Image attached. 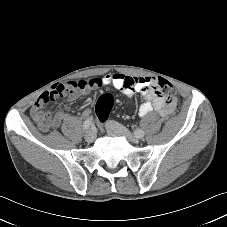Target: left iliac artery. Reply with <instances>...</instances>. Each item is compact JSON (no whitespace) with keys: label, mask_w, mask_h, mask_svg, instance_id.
Wrapping results in <instances>:
<instances>
[{"label":"left iliac artery","mask_w":227,"mask_h":227,"mask_svg":"<svg viewBox=\"0 0 227 227\" xmlns=\"http://www.w3.org/2000/svg\"><path fill=\"white\" fill-rule=\"evenodd\" d=\"M144 131L143 130H141V129H137V130H135L134 131V135L137 137V138H142V137H144Z\"/></svg>","instance_id":"obj_1"}]
</instances>
